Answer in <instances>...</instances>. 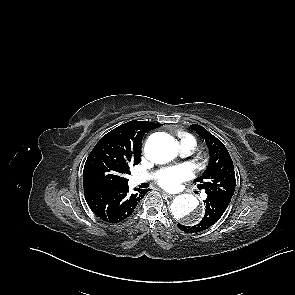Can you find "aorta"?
Returning a JSON list of instances; mask_svg holds the SVG:
<instances>
[{
  "mask_svg": "<svg viewBox=\"0 0 295 295\" xmlns=\"http://www.w3.org/2000/svg\"><path fill=\"white\" fill-rule=\"evenodd\" d=\"M145 153L149 160L163 164L173 160L178 153V143L175 139L163 132L152 134L146 144ZM199 201L191 194L177 196L171 204V212L176 220L189 225L198 224L202 214L197 212Z\"/></svg>",
  "mask_w": 295,
  "mask_h": 295,
  "instance_id": "1",
  "label": "aorta"
}]
</instances>
